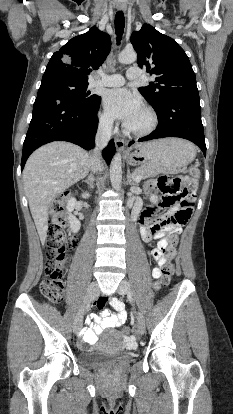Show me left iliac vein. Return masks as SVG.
Returning <instances> with one entry per match:
<instances>
[{"label":"left iliac vein","mask_w":233,"mask_h":414,"mask_svg":"<svg viewBox=\"0 0 233 414\" xmlns=\"http://www.w3.org/2000/svg\"><path fill=\"white\" fill-rule=\"evenodd\" d=\"M130 289V284L128 281L123 280L121 281L117 292L121 295H125L128 293ZM137 331L139 334H144L145 332V320L141 312L137 313Z\"/></svg>","instance_id":"obj_1"}]
</instances>
